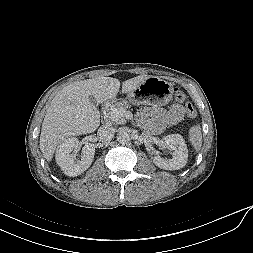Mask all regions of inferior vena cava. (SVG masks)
<instances>
[{
  "instance_id": "602c4592",
  "label": "inferior vena cava",
  "mask_w": 253,
  "mask_h": 253,
  "mask_svg": "<svg viewBox=\"0 0 253 253\" xmlns=\"http://www.w3.org/2000/svg\"><path fill=\"white\" fill-rule=\"evenodd\" d=\"M115 129L110 125H103L98 129L97 136L100 141L107 143L114 137Z\"/></svg>"
}]
</instances>
